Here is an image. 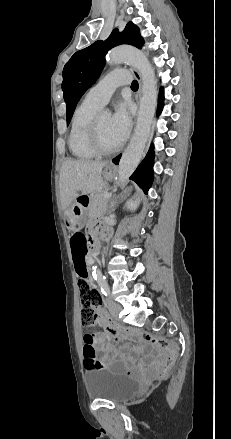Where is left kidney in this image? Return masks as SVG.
I'll return each instance as SVG.
<instances>
[{
  "label": "left kidney",
  "instance_id": "5707ae66",
  "mask_svg": "<svg viewBox=\"0 0 231 439\" xmlns=\"http://www.w3.org/2000/svg\"><path fill=\"white\" fill-rule=\"evenodd\" d=\"M138 203H139V202H137V201H135V202H133V201H127V202H126V207H127V209H130L131 211H133V210H136V208H137V206H138Z\"/></svg>",
  "mask_w": 231,
  "mask_h": 439
}]
</instances>
